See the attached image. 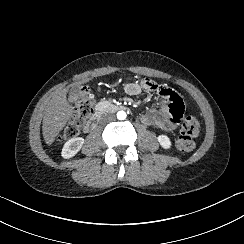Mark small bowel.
Here are the masks:
<instances>
[{
    "label": "small bowel",
    "mask_w": 244,
    "mask_h": 244,
    "mask_svg": "<svg viewBox=\"0 0 244 244\" xmlns=\"http://www.w3.org/2000/svg\"><path fill=\"white\" fill-rule=\"evenodd\" d=\"M124 91L130 96H137L143 91L155 92L159 104L149 108L141 115L143 125L153 126L160 130H169L175 127L183 113V102L180 95L172 88L151 79H141L124 86Z\"/></svg>",
    "instance_id": "c3829d8e"
}]
</instances>
